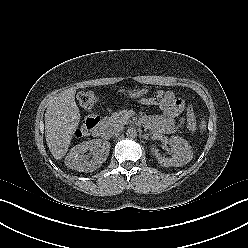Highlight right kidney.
I'll return each mask as SVG.
<instances>
[{"label": "right kidney", "mask_w": 248, "mask_h": 248, "mask_svg": "<svg viewBox=\"0 0 248 248\" xmlns=\"http://www.w3.org/2000/svg\"><path fill=\"white\" fill-rule=\"evenodd\" d=\"M89 151L90 154L85 153ZM110 143L101 139L84 141L74 146L65 158L68 168L79 172H92L99 168L107 159ZM92 154V158L90 159Z\"/></svg>", "instance_id": "right-kidney-1"}]
</instances>
